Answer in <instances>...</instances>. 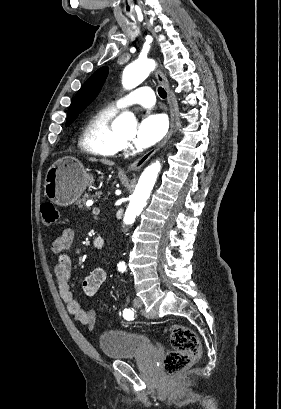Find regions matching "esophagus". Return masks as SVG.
Returning <instances> with one entry per match:
<instances>
[{"label":"esophagus","instance_id":"obj_1","mask_svg":"<svg viewBox=\"0 0 281 409\" xmlns=\"http://www.w3.org/2000/svg\"><path fill=\"white\" fill-rule=\"evenodd\" d=\"M155 75H156L158 82L161 85H163V87H165L167 90H169V83L164 73L160 69H156ZM168 104H169V110H170V127H169V130L164 140L160 142V144H158L157 147H155L152 150H149L144 155H142V157H140L139 159L135 160L132 164H130L128 166V170L141 169V167H143V165L150 159V157H152V155H154L155 152L161 149V147H163V145H165L170 139L173 133V130H174V111H173L172 102H171L170 97H168Z\"/></svg>","mask_w":281,"mask_h":409}]
</instances>
